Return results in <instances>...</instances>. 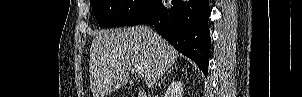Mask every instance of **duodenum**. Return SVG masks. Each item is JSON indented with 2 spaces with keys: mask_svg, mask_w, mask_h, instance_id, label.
<instances>
[{
  "mask_svg": "<svg viewBox=\"0 0 302 97\" xmlns=\"http://www.w3.org/2000/svg\"><path fill=\"white\" fill-rule=\"evenodd\" d=\"M138 97H146V94H145L144 92H140V93L138 94Z\"/></svg>",
  "mask_w": 302,
  "mask_h": 97,
  "instance_id": "1",
  "label": "duodenum"
}]
</instances>
